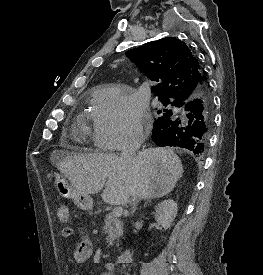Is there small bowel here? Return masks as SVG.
Listing matches in <instances>:
<instances>
[{
    "mask_svg": "<svg viewBox=\"0 0 263 275\" xmlns=\"http://www.w3.org/2000/svg\"><path fill=\"white\" fill-rule=\"evenodd\" d=\"M73 234V230L70 227H66L62 231V236L67 238ZM94 254L93 244L85 239L79 242L72 253V258L74 262L81 264L87 262ZM77 275V274H76ZM100 275H114L113 266L111 264H106L105 270Z\"/></svg>",
    "mask_w": 263,
    "mask_h": 275,
    "instance_id": "obj_1",
    "label": "small bowel"
}]
</instances>
